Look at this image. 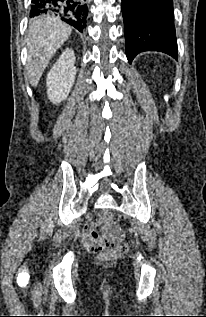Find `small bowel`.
I'll return each mask as SVG.
<instances>
[{
	"instance_id": "small-bowel-1",
	"label": "small bowel",
	"mask_w": 206,
	"mask_h": 317,
	"mask_svg": "<svg viewBox=\"0 0 206 317\" xmlns=\"http://www.w3.org/2000/svg\"><path fill=\"white\" fill-rule=\"evenodd\" d=\"M97 222H98V218L94 217V218L90 219L85 224V226L83 228V233H82V237H83V240H84L85 244H87V242L90 239L91 235L95 231V226H96Z\"/></svg>"
}]
</instances>
